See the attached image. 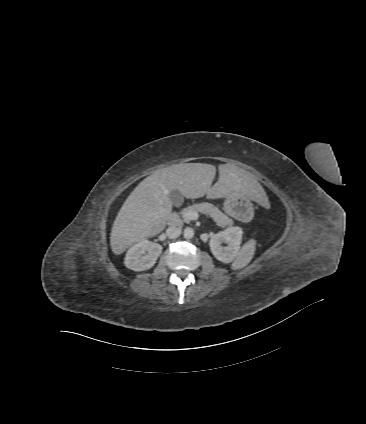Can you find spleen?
Wrapping results in <instances>:
<instances>
[{
  "instance_id": "obj_1",
  "label": "spleen",
  "mask_w": 366,
  "mask_h": 424,
  "mask_svg": "<svg viewBox=\"0 0 366 424\" xmlns=\"http://www.w3.org/2000/svg\"><path fill=\"white\" fill-rule=\"evenodd\" d=\"M256 241L254 239H250L247 241L240 249L238 255L236 256L232 269L239 270L247 266L252 260L255 252Z\"/></svg>"
}]
</instances>
